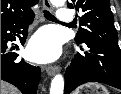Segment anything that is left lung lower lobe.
<instances>
[{"mask_svg": "<svg viewBox=\"0 0 121 94\" xmlns=\"http://www.w3.org/2000/svg\"><path fill=\"white\" fill-rule=\"evenodd\" d=\"M80 45L65 72L64 94L87 82H100L121 89V50L118 44L88 41Z\"/></svg>", "mask_w": 121, "mask_h": 94, "instance_id": "obj_1", "label": "left lung lower lobe"}]
</instances>
